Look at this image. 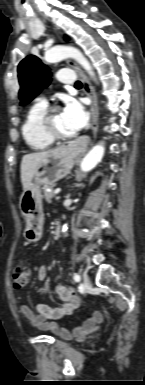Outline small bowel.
Masks as SVG:
<instances>
[{"instance_id": "1", "label": "small bowel", "mask_w": 145, "mask_h": 385, "mask_svg": "<svg viewBox=\"0 0 145 385\" xmlns=\"http://www.w3.org/2000/svg\"><path fill=\"white\" fill-rule=\"evenodd\" d=\"M47 273L46 266L39 267L37 280L39 282L44 281ZM57 293L62 300L61 304L50 306L40 303L36 305L35 310L28 305H21L20 312L38 329L51 331L65 340L73 338L82 340L86 335L92 334L99 329V324L103 320V315L99 311H92L82 325L75 326L71 330L61 327L58 321L65 316L71 315L80 306L81 299L68 286H58Z\"/></svg>"}]
</instances>
